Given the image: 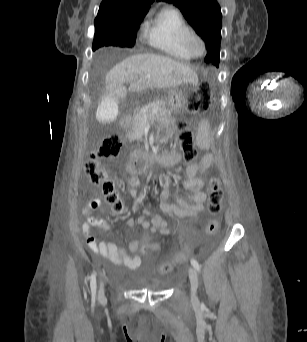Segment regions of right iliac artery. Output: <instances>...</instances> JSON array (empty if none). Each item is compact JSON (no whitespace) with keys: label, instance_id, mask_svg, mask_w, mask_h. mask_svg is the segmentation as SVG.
<instances>
[{"label":"right iliac artery","instance_id":"1","mask_svg":"<svg viewBox=\"0 0 307 342\" xmlns=\"http://www.w3.org/2000/svg\"><path fill=\"white\" fill-rule=\"evenodd\" d=\"M90 287H91L92 296H95V293H96V273L95 272L91 275Z\"/></svg>","mask_w":307,"mask_h":342}]
</instances>
